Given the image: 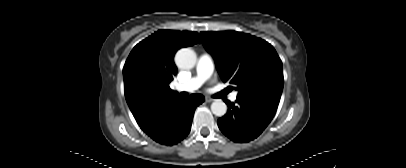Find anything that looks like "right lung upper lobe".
Wrapping results in <instances>:
<instances>
[{
  "label": "right lung upper lobe",
  "mask_w": 406,
  "mask_h": 168,
  "mask_svg": "<svg viewBox=\"0 0 406 168\" xmlns=\"http://www.w3.org/2000/svg\"><path fill=\"white\" fill-rule=\"evenodd\" d=\"M197 42V32L159 30L133 48L123 76L126 101L137 122L178 95L169 87L177 72L174 54Z\"/></svg>",
  "instance_id": "obj_1"
}]
</instances>
